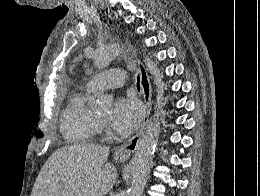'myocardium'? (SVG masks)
Here are the masks:
<instances>
[{"mask_svg":"<svg viewBox=\"0 0 260 196\" xmlns=\"http://www.w3.org/2000/svg\"><path fill=\"white\" fill-rule=\"evenodd\" d=\"M95 118H96L98 124H100V125L104 124V120L100 119L96 114H95Z\"/></svg>","mask_w":260,"mask_h":196,"instance_id":"1","label":"myocardium"}]
</instances>
